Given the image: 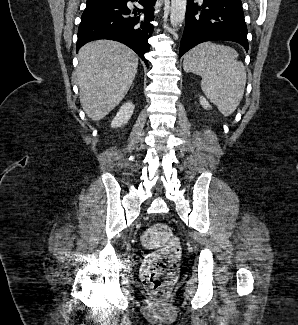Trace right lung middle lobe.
Returning <instances> with one entry per match:
<instances>
[{"instance_id":"dd1d6c3e","label":"right lung middle lobe","mask_w":298,"mask_h":325,"mask_svg":"<svg viewBox=\"0 0 298 325\" xmlns=\"http://www.w3.org/2000/svg\"><path fill=\"white\" fill-rule=\"evenodd\" d=\"M106 1H110V0H87L86 4L106 2Z\"/></svg>"}]
</instances>
